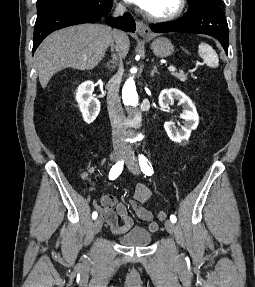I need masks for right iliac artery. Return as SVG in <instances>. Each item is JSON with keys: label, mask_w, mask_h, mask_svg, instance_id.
<instances>
[{"label": "right iliac artery", "mask_w": 255, "mask_h": 287, "mask_svg": "<svg viewBox=\"0 0 255 287\" xmlns=\"http://www.w3.org/2000/svg\"><path fill=\"white\" fill-rule=\"evenodd\" d=\"M124 162L123 160L118 161L115 165L112 166L110 172H109V179L115 180L122 172L123 170ZM98 216L97 212H93L92 218L96 219Z\"/></svg>", "instance_id": "right-iliac-artery-1"}]
</instances>
